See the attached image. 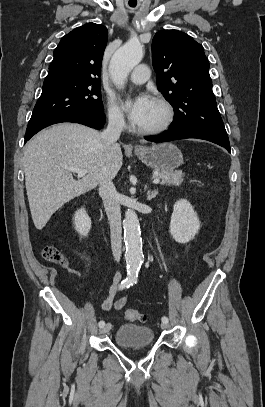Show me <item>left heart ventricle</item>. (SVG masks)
<instances>
[{"label":"left heart ventricle","instance_id":"obj_1","mask_svg":"<svg viewBox=\"0 0 265 407\" xmlns=\"http://www.w3.org/2000/svg\"><path fill=\"white\" fill-rule=\"evenodd\" d=\"M164 117L163 108L153 101L150 111L142 123L137 125L139 128L148 129L157 126Z\"/></svg>","mask_w":265,"mask_h":407}]
</instances>
